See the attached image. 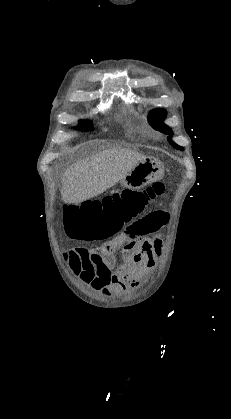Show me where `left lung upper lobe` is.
Listing matches in <instances>:
<instances>
[{
	"mask_svg": "<svg viewBox=\"0 0 231 419\" xmlns=\"http://www.w3.org/2000/svg\"><path fill=\"white\" fill-rule=\"evenodd\" d=\"M165 117H166V111H163V110H160V109H158V110H155L154 112H152L150 115H149V117H148V119H149V122H150V124L156 129V130H159V131H161L162 133H165V134H170V135H172L173 133H172V129L171 128H169L167 125H164L161 121L162 120H164L165 119ZM168 140H169V142H170V144L174 147V148H176V149H180V150H183V148L181 147V146H179V145H177V144H175L172 140H171V137H168Z\"/></svg>",
	"mask_w": 231,
	"mask_h": 419,
	"instance_id": "5c2ea615",
	"label": "left lung upper lobe"
}]
</instances>
